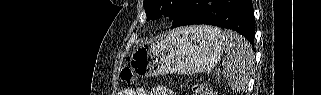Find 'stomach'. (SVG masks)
<instances>
[{"label":"stomach","instance_id":"0dacf381","mask_svg":"<svg viewBox=\"0 0 321 95\" xmlns=\"http://www.w3.org/2000/svg\"><path fill=\"white\" fill-rule=\"evenodd\" d=\"M223 51L222 40L189 28H181L154 41L135 46L130 66L144 77L166 73H208Z\"/></svg>","mask_w":321,"mask_h":95}]
</instances>
